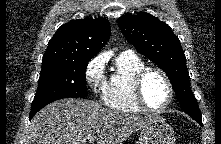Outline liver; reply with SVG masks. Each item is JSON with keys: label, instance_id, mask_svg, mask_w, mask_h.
I'll list each match as a JSON object with an SVG mask.
<instances>
[{"label": "liver", "instance_id": "1", "mask_svg": "<svg viewBox=\"0 0 221 144\" xmlns=\"http://www.w3.org/2000/svg\"><path fill=\"white\" fill-rule=\"evenodd\" d=\"M155 117L118 112L88 99L55 101L34 115L28 129L30 144H123Z\"/></svg>", "mask_w": 221, "mask_h": 144}]
</instances>
